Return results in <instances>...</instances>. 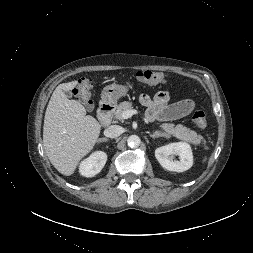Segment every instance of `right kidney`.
<instances>
[{
	"mask_svg": "<svg viewBox=\"0 0 253 253\" xmlns=\"http://www.w3.org/2000/svg\"><path fill=\"white\" fill-rule=\"evenodd\" d=\"M106 161V153L103 151H96L81 162L79 172L82 176L93 177L102 170Z\"/></svg>",
	"mask_w": 253,
	"mask_h": 253,
	"instance_id": "ca27d5eb",
	"label": "right kidney"
}]
</instances>
